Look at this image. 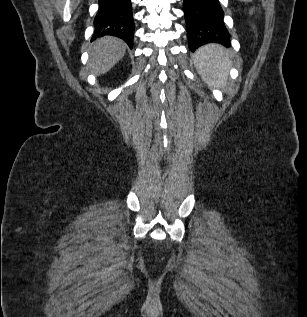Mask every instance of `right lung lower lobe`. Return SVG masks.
<instances>
[{"instance_id": "obj_1", "label": "right lung lower lobe", "mask_w": 307, "mask_h": 317, "mask_svg": "<svg viewBox=\"0 0 307 317\" xmlns=\"http://www.w3.org/2000/svg\"><path fill=\"white\" fill-rule=\"evenodd\" d=\"M92 40L105 35L123 39L133 47L134 21L131 0H99V10L94 19Z\"/></svg>"}]
</instances>
